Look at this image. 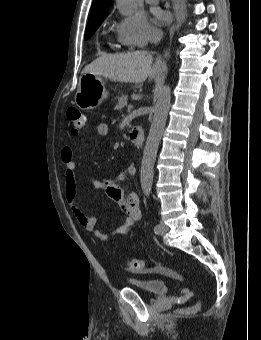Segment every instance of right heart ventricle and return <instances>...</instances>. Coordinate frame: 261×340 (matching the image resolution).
I'll return each instance as SVG.
<instances>
[{
	"instance_id": "obj_1",
	"label": "right heart ventricle",
	"mask_w": 261,
	"mask_h": 340,
	"mask_svg": "<svg viewBox=\"0 0 261 340\" xmlns=\"http://www.w3.org/2000/svg\"><path fill=\"white\" fill-rule=\"evenodd\" d=\"M129 46H131V45L118 34L117 41L113 45V47H115L117 49H123V48L129 47Z\"/></svg>"
}]
</instances>
